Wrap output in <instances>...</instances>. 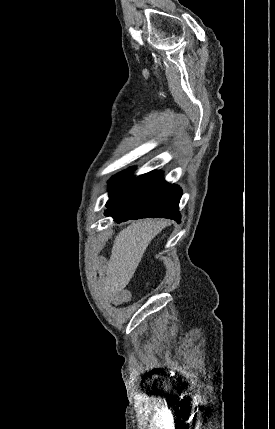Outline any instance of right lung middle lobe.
<instances>
[{
	"label": "right lung middle lobe",
	"instance_id": "right-lung-middle-lobe-1",
	"mask_svg": "<svg viewBox=\"0 0 275 429\" xmlns=\"http://www.w3.org/2000/svg\"><path fill=\"white\" fill-rule=\"evenodd\" d=\"M135 167H131L128 170H124L117 175H115L110 181L109 185V197H112L113 195L117 194L120 190H122L124 187H126L134 178L135 176L132 175L133 170Z\"/></svg>",
	"mask_w": 275,
	"mask_h": 429
}]
</instances>
